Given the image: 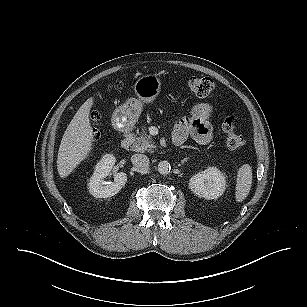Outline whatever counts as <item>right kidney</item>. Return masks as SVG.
Wrapping results in <instances>:
<instances>
[{
	"mask_svg": "<svg viewBox=\"0 0 307 307\" xmlns=\"http://www.w3.org/2000/svg\"><path fill=\"white\" fill-rule=\"evenodd\" d=\"M116 158L112 154H105L95 165V171L89 181V192L96 198H108L117 194L126 184L127 175L124 172L114 174V181L106 183L104 178L107 177Z\"/></svg>",
	"mask_w": 307,
	"mask_h": 307,
	"instance_id": "ca27d5eb",
	"label": "right kidney"
}]
</instances>
